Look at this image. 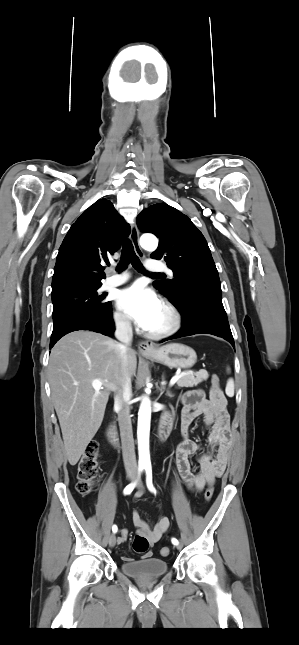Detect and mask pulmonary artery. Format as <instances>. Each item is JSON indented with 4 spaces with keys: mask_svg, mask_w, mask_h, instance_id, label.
<instances>
[{
    "mask_svg": "<svg viewBox=\"0 0 299 645\" xmlns=\"http://www.w3.org/2000/svg\"><path fill=\"white\" fill-rule=\"evenodd\" d=\"M145 266L148 272L166 271L170 274L172 273V271L163 262L157 260H148ZM128 278L129 275L127 273L110 275L105 279L102 287L103 289H111L120 286L124 284Z\"/></svg>",
    "mask_w": 299,
    "mask_h": 645,
    "instance_id": "pulmonary-artery-1",
    "label": "pulmonary artery"
}]
</instances>
